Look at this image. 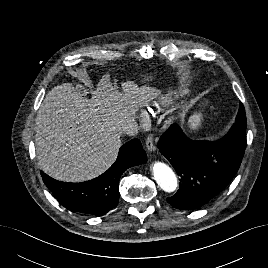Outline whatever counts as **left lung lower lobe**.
<instances>
[{"mask_svg":"<svg viewBox=\"0 0 268 268\" xmlns=\"http://www.w3.org/2000/svg\"><path fill=\"white\" fill-rule=\"evenodd\" d=\"M158 147L181 177L179 190L167 198L180 210L197 209L218 195L237 173L246 148L234 134L217 141L191 140L178 124L160 137Z\"/></svg>","mask_w":268,"mask_h":268,"instance_id":"1","label":"left lung lower lobe"}]
</instances>
